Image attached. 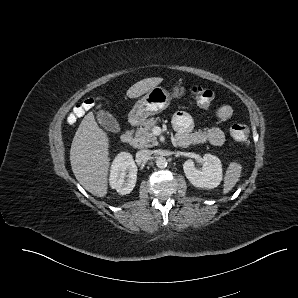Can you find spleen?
Instances as JSON below:
<instances>
[{
  "label": "spleen",
  "instance_id": "obj_1",
  "mask_svg": "<svg viewBox=\"0 0 298 298\" xmlns=\"http://www.w3.org/2000/svg\"><path fill=\"white\" fill-rule=\"evenodd\" d=\"M240 172L241 168L238 164H232L229 167L224 180V192H228L234 186L239 179Z\"/></svg>",
  "mask_w": 298,
  "mask_h": 298
}]
</instances>
